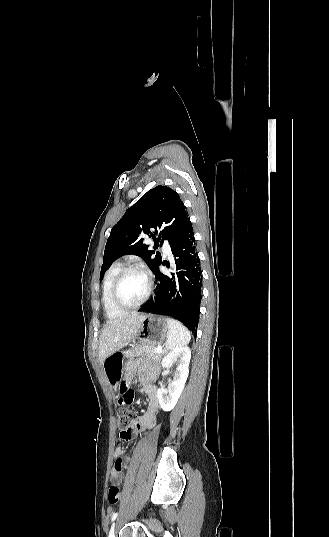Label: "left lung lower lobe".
Here are the masks:
<instances>
[{"mask_svg": "<svg viewBox=\"0 0 329 537\" xmlns=\"http://www.w3.org/2000/svg\"><path fill=\"white\" fill-rule=\"evenodd\" d=\"M171 250L175 257L176 271L170 276L161 273L158 267L153 271L155 294L143 305L141 311L172 316L196 334L202 279L191 222L171 245ZM166 266L170 267L168 264Z\"/></svg>", "mask_w": 329, "mask_h": 537, "instance_id": "left-lung-lower-lobe-1", "label": "left lung lower lobe"}]
</instances>
